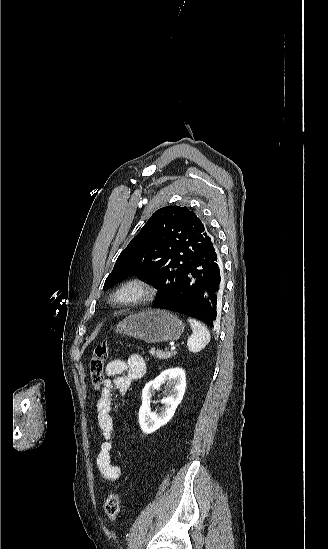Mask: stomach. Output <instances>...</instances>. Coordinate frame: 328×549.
Wrapping results in <instances>:
<instances>
[{"label":"stomach","instance_id":"1","mask_svg":"<svg viewBox=\"0 0 328 549\" xmlns=\"http://www.w3.org/2000/svg\"><path fill=\"white\" fill-rule=\"evenodd\" d=\"M185 325L170 311L146 309L125 317L116 327V333L141 339L145 343L177 341L183 335Z\"/></svg>","mask_w":328,"mask_h":549}]
</instances>
